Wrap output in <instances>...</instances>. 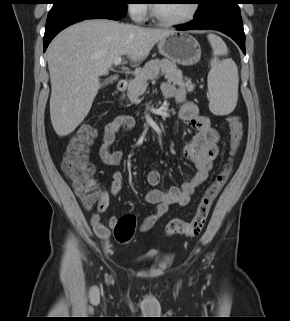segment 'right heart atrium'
<instances>
[{
	"label": "right heart atrium",
	"instance_id": "d8ad5b80",
	"mask_svg": "<svg viewBox=\"0 0 290 321\" xmlns=\"http://www.w3.org/2000/svg\"><path fill=\"white\" fill-rule=\"evenodd\" d=\"M127 12L134 21H143L148 14L146 0H131L127 5Z\"/></svg>",
	"mask_w": 290,
	"mask_h": 321
}]
</instances>
